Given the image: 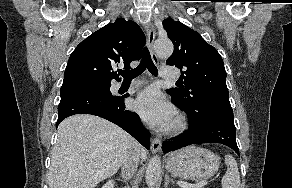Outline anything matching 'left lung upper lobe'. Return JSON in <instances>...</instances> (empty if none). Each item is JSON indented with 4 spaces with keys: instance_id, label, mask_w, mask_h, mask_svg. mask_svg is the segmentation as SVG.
Returning a JSON list of instances; mask_svg holds the SVG:
<instances>
[{
    "instance_id": "left-lung-upper-lobe-1",
    "label": "left lung upper lobe",
    "mask_w": 292,
    "mask_h": 188,
    "mask_svg": "<svg viewBox=\"0 0 292 188\" xmlns=\"http://www.w3.org/2000/svg\"><path fill=\"white\" fill-rule=\"evenodd\" d=\"M163 27L174 45L166 63L180 68L182 74L179 88L167 90L172 102L194 122L212 109L231 108L226 71L218 51L198 32L172 18L165 19Z\"/></svg>"
}]
</instances>
